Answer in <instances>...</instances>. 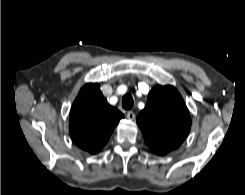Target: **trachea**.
I'll return each instance as SVG.
<instances>
[{
	"label": "trachea",
	"instance_id": "3493384b",
	"mask_svg": "<svg viewBox=\"0 0 245 195\" xmlns=\"http://www.w3.org/2000/svg\"><path fill=\"white\" fill-rule=\"evenodd\" d=\"M134 100L133 97L130 94H126L122 98V107L126 110H129L133 107Z\"/></svg>",
	"mask_w": 245,
	"mask_h": 195
}]
</instances>
